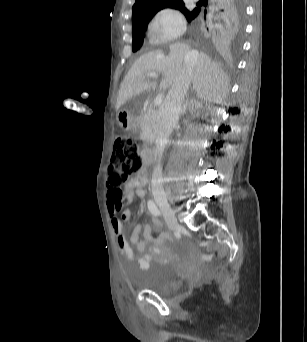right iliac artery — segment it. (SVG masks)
I'll use <instances>...</instances> for the list:
<instances>
[{"mask_svg":"<svg viewBox=\"0 0 307 342\" xmlns=\"http://www.w3.org/2000/svg\"><path fill=\"white\" fill-rule=\"evenodd\" d=\"M148 209L149 211L154 215V216H160L161 213L159 211V209L157 208L156 204L152 201V200H149L148 201Z\"/></svg>","mask_w":307,"mask_h":342,"instance_id":"obj_1","label":"right iliac artery"}]
</instances>
